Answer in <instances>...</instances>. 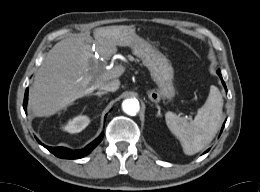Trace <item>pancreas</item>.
<instances>
[{
    "label": "pancreas",
    "mask_w": 260,
    "mask_h": 192,
    "mask_svg": "<svg viewBox=\"0 0 260 192\" xmlns=\"http://www.w3.org/2000/svg\"><path fill=\"white\" fill-rule=\"evenodd\" d=\"M129 59H130V60H134V58H133V57H131V56L129 57Z\"/></svg>",
    "instance_id": "1"
}]
</instances>
